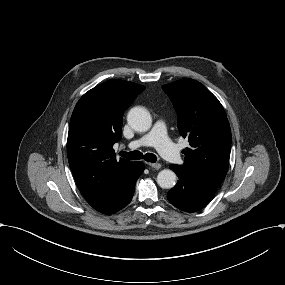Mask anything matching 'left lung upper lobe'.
<instances>
[{
  "label": "left lung upper lobe",
  "instance_id": "5c2ea615",
  "mask_svg": "<svg viewBox=\"0 0 285 285\" xmlns=\"http://www.w3.org/2000/svg\"><path fill=\"white\" fill-rule=\"evenodd\" d=\"M178 114V129L190 147L184 164L175 167L186 176L217 190L228 171L231 130L218 99L200 82L181 79L162 86Z\"/></svg>",
  "mask_w": 285,
  "mask_h": 285
}]
</instances>
